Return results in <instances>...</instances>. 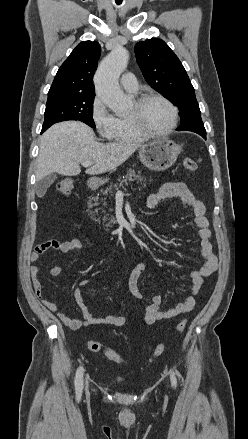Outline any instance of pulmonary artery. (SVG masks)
<instances>
[{
  "label": "pulmonary artery",
  "instance_id": "obj_1",
  "mask_svg": "<svg viewBox=\"0 0 248 439\" xmlns=\"http://www.w3.org/2000/svg\"><path fill=\"white\" fill-rule=\"evenodd\" d=\"M121 85L124 90L136 93L138 90V83L135 75L131 72L125 73L121 78Z\"/></svg>",
  "mask_w": 248,
  "mask_h": 439
}]
</instances>
